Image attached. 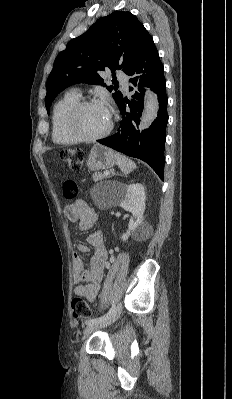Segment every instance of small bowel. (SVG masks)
<instances>
[{
    "label": "small bowel",
    "instance_id": "small-bowel-1",
    "mask_svg": "<svg viewBox=\"0 0 232 399\" xmlns=\"http://www.w3.org/2000/svg\"><path fill=\"white\" fill-rule=\"evenodd\" d=\"M66 215L77 216L79 218V229L89 230L96 221L95 208L92 203L85 198H77L64 209ZM88 243L94 245L95 250L91 257L90 267L83 269V264L77 254L70 257L74 268L73 275V294L75 296H87L92 305L97 303V294L101 285L102 266L107 260V254L104 249V236L97 232L87 240H81L77 243V249L80 252H86Z\"/></svg>",
    "mask_w": 232,
    "mask_h": 399
}]
</instances>
